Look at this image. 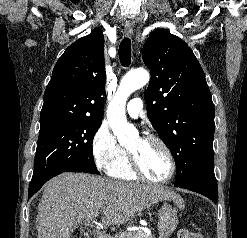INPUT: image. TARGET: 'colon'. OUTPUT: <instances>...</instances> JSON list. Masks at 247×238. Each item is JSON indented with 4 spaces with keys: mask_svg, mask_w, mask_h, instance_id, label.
<instances>
[{
    "mask_svg": "<svg viewBox=\"0 0 247 238\" xmlns=\"http://www.w3.org/2000/svg\"><path fill=\"white\" fill-rule=\"evenodd\" d=\"M178 238H204L202 234L188 230V229H180L178 232Z\"/></svg>",
    "mask_w": 247,
    "mask_h": 238,
    "instance_id": "5ec220e1",
    "label": "colon"
}]
</instances>
